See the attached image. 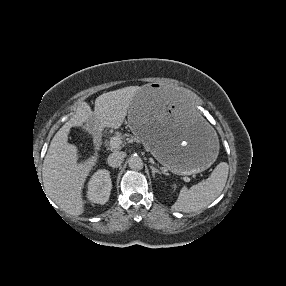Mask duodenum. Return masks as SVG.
<instances>
[{
    "label": "duodenum",
    "instance_id": "1",
    "mask_svg": "<svg viewBox=\"0 0 286 286\" xmlns=\"http://www.w3.org/2000/svg\"><path fill=\"white\" fill-rule=\"evenodd\" d=\"M94 147L95 149L99 150L102 147V138L100 135H96L94 137Z\"/></svg>",
    "mask_w": 286,
    "mask_h": 286
}]
</instances>
